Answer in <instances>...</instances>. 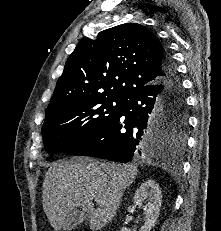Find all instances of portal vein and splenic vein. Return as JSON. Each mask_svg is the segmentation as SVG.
<instances>
[{"instance_id": "18ae733b", "label": "portal vein and splenic vein", "mask_w": 221, "mask_h": 231, "mask_svg": "<svg viewBox=\"0 0 221 231\" xmlns=\"http://www.w3.org/2000/svg\"><path fill=\"white\" fill-rule=\"evenodd\" d=\"M95 202H97L98 204L102 203V201L100 199H96Z\"/></svg>"}]
</instances>
